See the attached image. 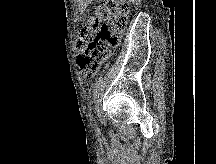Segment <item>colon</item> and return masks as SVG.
Here are the masks:
<instances>
[{
	"label": "colon",
	"mask_w": 216,
	"mask_h": 164,
	"mask_svg": "<svg viewBox=\"0 0 216 164\" xmlns=\"http://www.w3.org/2000/svg\"><path fill=\"white\" fill-rule=\"evenodd\" d=\"M129 12L128 0H105L78 32L75 44L81 55L77 63L84 77L92 78L108 58L110 48L118 44Z\"/></svg>",
	"instance_id": "1"
}]
</instances>
